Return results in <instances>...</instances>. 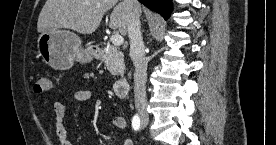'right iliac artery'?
<instances>
[{
    "label": "right iliac artery",
    "mask_w": 276,
    "mask_h": 145,
    "mask_svg": "<svg viewBox=\"0 0 276 145\" xmlns=\"http://www.w3.org/2000/svg\"><path fill=\"white\" fill-rule=\"evenodd\" d=\"M132 128L135 131H138L140 129V117L137 114L132 118Z\"/></svg>",
    "instance_id": "1"
}]
</instances>
